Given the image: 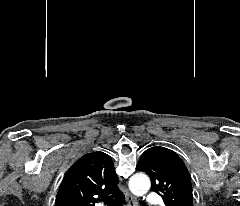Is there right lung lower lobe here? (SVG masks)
<instances>
[{
	"label": "right lung lower lobe",
	"mask_w": 240,
	"mask_h": 206,
	"mask_svg": "<svg viewBox=\"0 0 240 206\" xmlns=\"http://www.w3.org/2000/svg\"><path fill=\"white\" fill-rule=\"evenodd\" d=\"M119 203H123L124 202V200H125V197H124V195L122 194L120 197H118L117 199H116Z\"/></svg>",
	"instance_id": "right-lung-lower-lobe-1"
}]
</instances>
